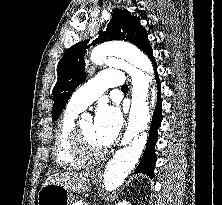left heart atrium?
Returning <instances> with one entry per match:
<instances>
[{
  "label": "left heart atrium",
  "instance_id": "left-heart-atrium-1",
  "mask_svg": "<svg viewBox=\"0 0 222 205\" xmlns=\"http://www.w3.org/2000/svg\"><path fill=\"white\" fill-rule=\"evenodd\" d=\"M122 127V115L117 106L101 104L96 112L93 129L96 141L102 147L110 145Z\"/></svg>",
  "mask_w": 222,
  "mask_h": 205
}]
</instances>
